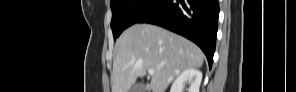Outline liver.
Returning a JSON list of instances; mask_svg holds the SVG:
<instances>
[{
	"instance_id": "1",
	"label": "liver",
	"mask_w": 296,
	"mask_h": 92,
	"mask_svg": "<svg viewBox=\"0 0 296 92\" xmlns=\"http://www.w3.org/2000/svg\"><path fill=\"white\" fill-rule=\"evenodd\" d=\"M112 92H128L137 77L154 69L146 92H165L180 72L203 65L202 50L186 38L161 27L135 24L115 44Z\"/></svg>"
}]
</instances>
